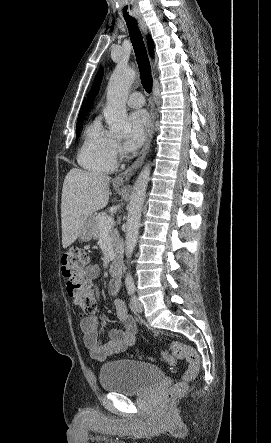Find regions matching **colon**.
<instances>
[{
  "mask_svg": "<svg viewBox=\"0 0 271 443\" xmlns=\"http://www.w3.org/2000/svg\"><path fill=\"white\" fill-rule=\"evenodd\" d=\"M62 273L67 279V293L85 314L92 315L96 311L94 286L85 275L89 263V253L82 248H73L63 254ZM172 355L162 352V359L170 366L174 358L186 360L188 367L182 380L174 384L164 394V402L172 404L186 390L187 383L193 380L200 370V358L197 352L189 345L174 341L170 344ZM174 357V358H173Z\"/></svg>",
  "mask_w": 271,
  "mask_h": 443,
  "instance_id": "5ec220e1",
  "label": "colon"
}]
</instances>
